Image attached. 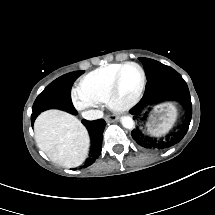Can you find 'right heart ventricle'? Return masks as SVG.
Listing matches in <instances>:
<instances>
[{
  "instance_id": "right-heart-ventricle-1",
  "label": "right heart ventricle",
  "mask_w": 215,
  "mask_h": 215,
  "mask_svg": "<svg viewBox=\"0 0 215 215\" xmlns=\"http://www.w3.org/2000/svg\"><path fill=\"white\" fill-rule=\"evenodd\" d=\"M120 63L107 64L82 79L83 96L89 103H103L115 81L114 70Z\"/></svg>"
}]
</instances>
